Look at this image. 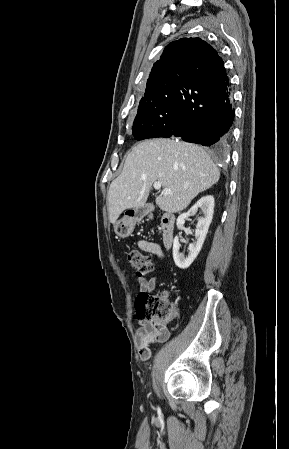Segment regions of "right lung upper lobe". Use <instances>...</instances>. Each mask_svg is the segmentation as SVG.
<instances>
[{
    "mask_svg": "<svg viewBox=\"0 0 289 449\" xmlns=\"http://www.w3.org/2000/svg\"><path fill=\"white\" fill-rule=\"evenodd\" d=\"M224 62L217 51L200 38H182L168 44L147 81L145 96L176 91L179 82L206 81L213 78Z\"/></svg>",
    "mask_w": 289,
    "mask_h": 449,
    "instance_id": "1",
    "label": "right lung upper lobe"
}]
</instances>
